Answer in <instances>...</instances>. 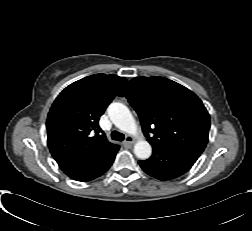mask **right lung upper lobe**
Returning a JSON list of instances; mask_svg holds the SVG:
<instances>
[{
  "instance_id": "cb5924a9",
  "label": "right lung upper lobe",
  "mask_w": 252,
  "mask_h": 231,
  "mask_svg": "<svg viewBox=\"0 0 252 231\" xmlns=\"http://www.w3.org/2000/svg\"><path fill=\"white\" fill-rule=\"evenodd\" d=\"M124 77L95 74L66 87L47 118V141L61 170L77 181L102 175L114 161L119 146L108 142L98 125Z\"/></svg>"
}]
</instances>
